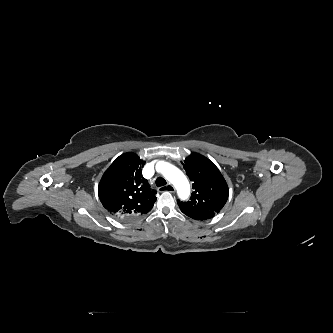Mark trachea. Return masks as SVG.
Listing matches in <instances>:
<instances>
[{
	"instance_id": "obj_1",
	"label": "trachea",
	"mask_w": 333,
	"mask_h": 333,
	"mask_svg": "<svg viewBox=\"0 0 333 333\" xmlns=\"http://www.w3.org/2000/svg\"><path fill=\"white\" fill-rule=\"evenodd\" d=\"M157 187L166 185V180L162 177H158L155 181Z\"/></svg>"
}]
</instances>
